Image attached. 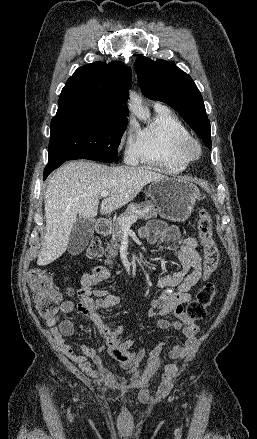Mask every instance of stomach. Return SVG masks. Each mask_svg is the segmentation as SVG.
Listing matches in <instances>:
<instances>
[{"mask_svg": "<svg viewBox=\"0 0 257 439\" xmlns=\"http://www.w3.org/2000/svg\"><path fill=\"white\" fill-rule=\"evenodd\" d=\"M148 191L160 215L173 221L188 219L201 196L199 188L185 178L164 177L155 180L149 185Z\"/></svg>", "mask_w": 257, "mask_h": 439, "instance_id": "obj_1", "label": "stomach"}]
</instances>
